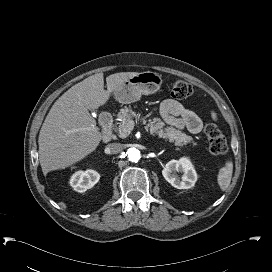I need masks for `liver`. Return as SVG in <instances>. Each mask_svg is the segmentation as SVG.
Returning a JSON list of instances; mask_svg holds the SVG:
<instances>
[{"label": "liver", "instance_id": "1", "mask_svg": "<svg viewBox=\"0 0 272 272\" xmlns=\"http://www.w3.org/2000/svg\"><path fill=\"white\" fill-rule=\"evenodd\" d=\"M137 72H121L106 77L94 74L72 86L51 107L41 127L39 161L44 174L68 167L89 155L99 145L102 134L90 110L107 103L110 94Z\"/></svg>", "mask_w": 272, "mask_h": 272}]
</instances>
